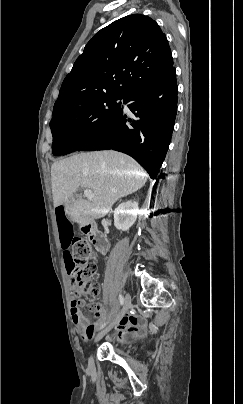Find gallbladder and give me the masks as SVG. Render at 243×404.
Masks as SVG:
<instances>
[{
	"label": "gallbladder",
	"mask_w": 243,
	"mask_h": 404,
	"mask_svg": "<svg viewBox=\"0 0 243 404\" xmlns=\"http://www.w3.org/2000/svg\"><path fill=\"white\" fill-rule=\"evenodd\" d=\"M66 210L70 212L71 207H70V206H67V207H66ZM71 216H72V215H71Z\"/></svg>",
	"instance_id": "bac80fb5"
}]
</instances>
